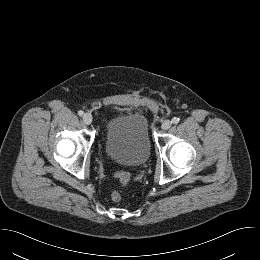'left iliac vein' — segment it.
I'll return each instance as SVG.
<instances>
[{
    "mask_svg": "<svg viewBox=\"0 0 260 260\" xmlns=\"http://www.w3.org/2000/svg\"><path fill=\"white\" fill-rule=\"evenodd\" d=\"M171 126H172V122L170 120L163 121V123L161 125L162 129H164V130L169 129Z\"/></svg>",
    "mask_w": 260,
    "mask_h": 260,
    "instance_id": "1",
    "label": "left iliac vein"
}]
</instances>
